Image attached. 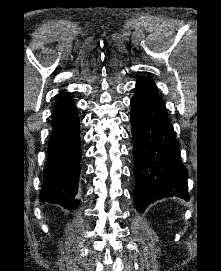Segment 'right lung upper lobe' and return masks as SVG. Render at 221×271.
Segmentation results:
<instances>
[{
    "mask_svg": "<svg viewBox=\"0 0 221 271\" xmlns=\"http://www.w3.org/2000/svg\"><path fill=\"white\" fill-rule=\"evenodd\" d=\"M72 102L73 100L69 97V95L65 92H62L58 97V101L56 103L55 109L66 106Z\"/></svg>",
    "mask_w": 221,
    "mask_h": 271,
    "instance_id": "obj_1",
    "label": "right lung upper lobe"
}]
</instances>
